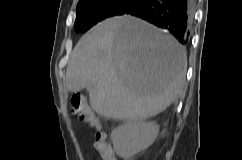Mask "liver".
<instances>
[{"label": "liver", "mask_w": 242, "mask_h": 160, "mask_svg": "<svg viewBox=\"0 0 242 160\" xmlns=\"http://www.w3.org/2000/svg\"><path fill=\"white\" fill-rule=\"evenodd\" d=\"M185 49L164 31L132 16L106 19L75 46L66 70L70 92L87 88L93 110L107 118L144 121L181 92Z\"/></svg>", "instance_id": "obj_1"}]
</instances>
